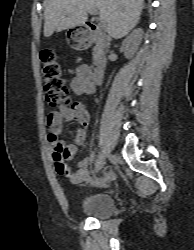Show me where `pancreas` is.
Instances as JSON below:
<instances>
[{
	"label": "pancreas",
	"instance_id": "cf45deb5",
	"mask_svg": "<svg viewBox=\"0 0 194 250\" xmlns=\"http://www.w3.org/2000/svg\"><path fill=\"white\" fill-rule=\"evenodd\" d=\"M99 47H100V43H97V45L94 47V52H93L94 58H97V56H98Z\"/></svg>",
	"mask_w": 194,
	"mask_h": 250
}]
</instances>
